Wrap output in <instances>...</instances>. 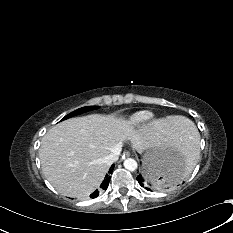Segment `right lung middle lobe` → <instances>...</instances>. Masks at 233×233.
<instances>
[{
  "mask_svg": "<svg viewBox=\"0 0 233 233\" xmlns=\"http://www.w3.org/2000/svg\"><path fill=\"white\" fill-rule=\"evenodd\" d=\"M96 108H97L96 106L82 107V108L77 109V110L71 112L70 114L66 115L62 120L68 119V118H70L72 116H75V115H78V114H81V113H84V112H87V111H90V110H94Z\"/></svg>",
  "mask_w": 233,
  "mask_h": 233,
  "instance_id": "dd1d6c3e",
  "label": "right lung middle lobe"
}]
</instances>
